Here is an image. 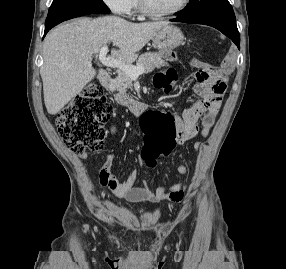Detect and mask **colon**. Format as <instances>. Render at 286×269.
Listing matches in <instances>:
<instances>
[{
	"instance_id": "colon-1",
	"label": "colon",
	"mask_w": 286,
	"mask_h": 269,
	"mask_svg": "<svg viewBox=\"0 0 286 269\" xmlns=\"http://www.w3.org/2000/svg\"><path fill=\"white\" fill-rule=\"evenodd\" d=\"M163 62H179L178 49H158ZM190 66H194L196 83L191 88H197L202 93L214 95L219 100L223 95L224 82L222 70L226 65H209L207 61L193 58ZM176 72L169 68L156 76L160 87L171 88V82ZM112 106L107 101L103 88L89 84L78 96L65 106L57 115L56 125L61 139L71 150L82 155L86 149L98 150L103 145L108 130H113L111 122ZM139 128L143 131L145 142H142L146 165L155 167L157 159H167V156L179 144L180 134L176 131L173 111L162 110L160 106H151L139 116ZM183 192L178 193L182 198Z\"/></svg>"
}]
</instances>
